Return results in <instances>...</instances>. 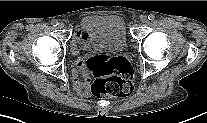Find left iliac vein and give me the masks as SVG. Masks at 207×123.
I'll return each instance as SVG.
<instances>
[{
    "mask_svg": "<svg viewBox=\"0 0 207 123\" xmlns=\"http://www.w3.org/2000/svg\"><path fill=\"white\" fill-rule=\"evenodd\" d=\"M141 22H142L143 24L148 23V18H147L146 16H142V17H141Z\"/></svg>",
    "mask_w": 207,
    "mask_h": 123,
    "instance_id": "obj_1",
    "label": "left iliac vein"
}]
</instances>
